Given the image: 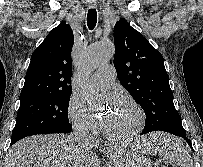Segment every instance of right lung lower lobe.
<instances>
[{
  "label": "right lung lower lobe",
  "mask_w": 203,
  "mask_h": 167,
  "mask_svg": "<svg viewBox=\"0 0 203 167\" xmlns=\"http://www.w3.org/2000/svg\"><path fill=\"white\" fill-rule=\"evenodd\" d=\"M15 142H11V145H13Z\"/></svg>",
  "instance_id": "right-lung-lower-lobe-1"
}]
</instances>
